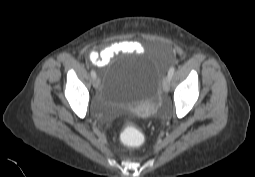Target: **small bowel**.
Wrapping results in <instances>:
<instances>
[{
  "mask_svg": "<svg viewBox=\"0 0 255 177\" xmlns=\"http://www.w3.org/2000/svg\"><path fill=\"white\" fill-rule=\"evenodd\" d=\"M143 47L135 41L116 42L101 51H91L89 61L99 67L107 65L115 55L122 52H141Z\"/></svg>",
  "mask_w": 255,
  "mask_h": 177,
  "instance_id": "1",
  "label": "small bowel"
}]
</instances>
